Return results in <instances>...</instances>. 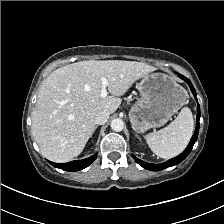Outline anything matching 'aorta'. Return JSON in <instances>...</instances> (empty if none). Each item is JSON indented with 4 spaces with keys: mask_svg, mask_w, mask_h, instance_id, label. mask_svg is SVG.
<instances>
[{
    "mask_svg": "<svg viewBox=\"0 0 224 224\" xmlns=\"http://www.w3.org/2000/svg\"><path fill=\"white\" fill-rule=\"evenodd\" d=\"M110 126L113 131L120 132L124 128V122L119 118L113 119Z\"/></svg>",
    "mask_w": 224,
    "mask_h": 224,
    "instance_id": "aorta-1",
    "label": "aorta"
}]
</instances>
